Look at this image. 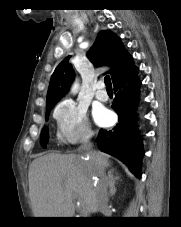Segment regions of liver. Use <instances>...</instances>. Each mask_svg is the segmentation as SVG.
<instances>
[{"label": "liver", "instance_id": "obj_1", "mask_svg": "<svg viewBox=\"0 0 181 227\" xmlns=\"http://www.w3.org/2000/svg\"><path fill=\"white\" fill-rule=\"evenodd\" d=\"M110 166L106 154L89 151L82 154H46L33 160L29 168V198L35 217H72L75 200L87 211L96 212L99 177Z\"/></svg>", "mask_w": 181, "mask_h": 227}]
</instances>
